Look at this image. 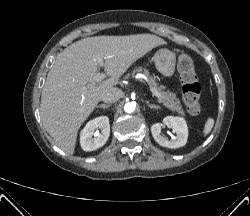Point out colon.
Here are the masks:
<instances>
[{"mask_svg":"<svg viewBox=\"0 0 250 216\" xmlns=\"http://www.w3.org/2000/svg\"><path fill=\"white\" fill-rule=\"evenodd\" d=\"M178 71L182 85V97L186 108L191 115H199L201 112V89L193 59L188 54H181L179 56Z\"/></svg>","mask_w":250,"mask_h":216,"instance_id":"obj_1","label":"colon"}]
</instances>
